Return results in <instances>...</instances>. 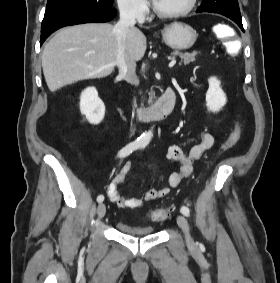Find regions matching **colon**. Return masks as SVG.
Returning <instances> with one entry per match:
<instances>
[{
  "mask_svg": "<svg viewBox=\"0 0 280 283\" xmlns=\"http://www.w3.org/2000/svg\"><path fill=\"white\" fill-rule=\"evenodd\" d=\"M213 31L217 36V42H225V47H228V55H241L242 37H234L235 30L232 25H215ZM240 134V126L234 131L233 135L222 146V151L229 149L238 139ZM170 209L159 208L150 213V218L153 221H163L169 215Z\"/></svg>",
  "mask_w": 280,
  "mask_h": 283,
  "instance_id": "1",
  "label": "colon"
}]
</instances>
